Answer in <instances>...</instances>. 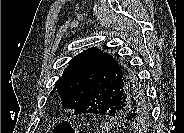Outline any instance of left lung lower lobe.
Returning a JSON list of instances; mask_svg holds the SVG:
<instances>
[{"label":"left lung lower lobe","mask_w":184,"mask_h":133,"mask_svg":"<svg viewBox=\"0 0 184 133\" xmlns=\"http://www.w3.org/2000/svg\"><path fill=\"white\" fill-rule=\"evenodd\" d=\"M106 56V53H102L99 57V67L89 93L90 96L95 94V100L88 101L86 98L75 109L74 114L93 113L120 118L139 128L135 124L136 116L129 109L136 106L137 97L144 93V89L137 84L139 79L136 75L133 82L127 83Z\"/></svg>","instance_id":"1"}]
</instances>
